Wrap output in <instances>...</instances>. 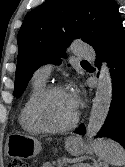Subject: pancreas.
<instances>
[{
  "label": "pancreas",
  "mask_w": 125,
  "mask_h": 167,
  "mask_svg": "<svg viewBox=\"0 0 125 167\" xmlns=\"http://www.w3.org/2000/svg\"><path fill=\"white\" fill-rule=\"evenodd\" d=\"M66 158H60L56 162H53L54 164H57V167H64Z\"/></svg>",
  "instance_id": "cf45deb5"
}]
</instances>
